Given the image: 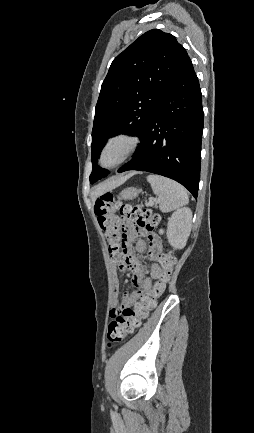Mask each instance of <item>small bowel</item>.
<instances>
[{
  "mask_svg": "<svg viewBox=\"0 0 254 433\" xmlns=\"http://www.w3.org/2000/svg\"><path fill=\"white\" fill-rule=\"evenodd\" d=\"M129 230L128 233V241L131 242L137 236L146 234L147 231L141 228H132L129 225H126ZM148 242L139 239L136 241L135 248L139 253H143L147 246L149 248V256L152 260V264L150 266V276H146V267L134 256L132 250L129 246H127L126 254L121 258H113V261L120 272H125L127 270L132 271V284L140 288L142 292L137 291L133 294L125 293L121 301L116 300L113 304V308L111 314L115 313L118 308L125 304H131L136 302L144 293L149 292V290L153 287V280L158 279L161 268L157 263L160 258L162 252V244L160 238L154 233H148ZM114 293L117 295L119 292V282L118 279H114L113 283Z\"/></svg>",
  "mask_w": 254,
  "mask_h": 433,
  "instance_id": "1",
  "label": "small bowel"
}]
</instances>
